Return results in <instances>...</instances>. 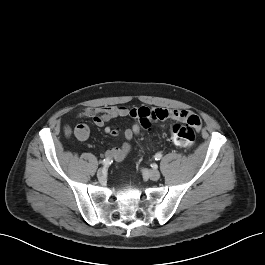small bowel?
I'll return each instance as SVG.
<instances>
[{
    "instance_id": "small-bowel-1",
    "label": "small bowel",
    "mask_w": 265,
    "mask_h": 265,
    "mask_svg": "<svg viewBox=\"0 0 265 265\" xmlns=\"http://www.w3.org/2000/svg\"><path fill=\"white\" fill-rule=\"evenodd\" d=\"M156 111V110H155ZM164 112V117L161 119H174L182 122L190 123V118L194 117L198 120L196 128L201 127V121L197 115L186 109H171L161 110ZM150 110L145 107L140 108H128L125 106H102L94 109L84 108L80 111L79 117H90L98 127H104L105 133L111 136H118L122 134L127 140L121 146H115L105 152V157L114 159L116 161L123 160L132 150V146L129 143L134 137L138 136L142 128H148L150 126L149 118ZM131 117L134 122L129 128L121 130L117 126H105L106 123L115 117ZM75 137L79 141H85L88 139L90 130L85 124H79L74 130Z\"/></svg>"
}]
</instances>
